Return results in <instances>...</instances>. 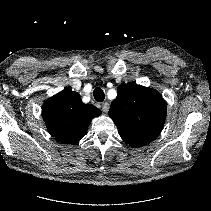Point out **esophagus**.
Segmentation results:
<instances>
[{
    "label": "esophagus",
    "mask_w": 211,
    "mask_h": 211,
    "mask_svg": "<svg viewBox=\"0 0 211 211\" xmlns=\"http://www.w3.org/2000/svg\"><path fill=\"white\" fill-rule=\"evenodd\" d=\"M109 108H110V105H109L108 102L102 103V110H103L105 113L108 112Z\"/></svg>",
    "instance_id": "1"
}]
</instances>
